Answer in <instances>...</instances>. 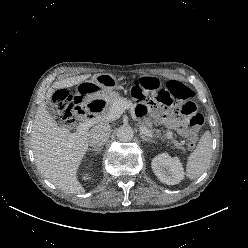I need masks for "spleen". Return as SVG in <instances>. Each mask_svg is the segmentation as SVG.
<instances>
[{"instance_id": "1", "label": "spleen", "mask_w": 248, "mask_h": 248, "mask_svg": "<svg viewBox=\"0 0 248 248\" xmlns=\"http://www.w3.org/2000/svg\"><path fill=\"white\" fill-rule=\"evenodd\" d=\"M212 159V138L206 131L199 140L196 149L188 157L186 176L191 179L200 177L209 167Z\"/></svg>"}]
</instances>
